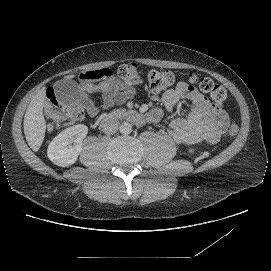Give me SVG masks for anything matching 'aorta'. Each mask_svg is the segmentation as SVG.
Instances as JSON below:
<instances>
[{"instance_id":"1","label":"aorta","mask_w":271,"mask_h":271,"mask_svg":"<svg viewBox=\"0 0 271 271\" xmlns=\"http://www.w3.org/2000/svg\"><path fill=\"white\" fill-rule=\"evenodd\" d=\"M120 133L128 135L132 132V125L129 122H123L119 127Z\"/></svg>"}]
</instances>
